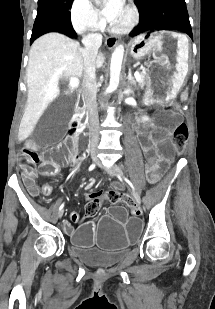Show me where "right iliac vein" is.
I'll return each mask as SVG.
<instances>
[{"mask_svg":"<svg viewBox=\"0 0 215 309\" xmlns=\"http://www.w3.org/2000/svg\"><path fill=\"white\" fill-rule=\"evenodd\" d=\"M92 159L94 160V158H92ZM63 213H64V210L62 209V210L58 213L57 217H58V218H61L62 215H63Z\"/></svg>","mask_w":215,"mask_h":309,"instance_id":"obj_1","label":"right iliac vein"}]
</instances>
